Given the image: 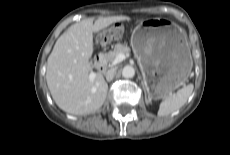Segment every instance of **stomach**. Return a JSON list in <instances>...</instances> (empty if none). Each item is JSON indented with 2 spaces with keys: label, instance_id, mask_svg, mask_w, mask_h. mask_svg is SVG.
<instances>
[{
  "label": "stomach",
  "instance_id": "obj_1",
  "mask_svg": "<svg viewBox=\"0 0 230 155\" xmlns=\"http://www.w3.org/2000/svg\"><path fill=\"white\" fill-rule=\"evenodd\" d=\"M131 47L149 99H165L185 84L193 61L179 26L165 18L142 20L132 32Z\"/></svg>",
  "mask_w": 230,
  "mask_h": 155
}]
</instances>
